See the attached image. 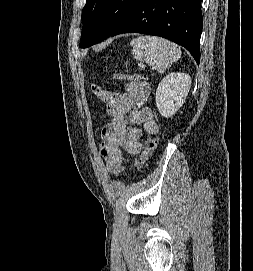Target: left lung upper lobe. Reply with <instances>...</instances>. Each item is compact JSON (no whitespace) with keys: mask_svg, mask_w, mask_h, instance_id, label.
I'll return each instance as SVG.
<instances>
[{"mask_svg":"<svg viewBox=\"0 0 253 271\" xmlns=\"http://www.w3.org/2000/svg\"><path fill=\"white\" fill-rule=\"evenodd\" d=\"M133 0H86L82 10V41L86 48L108 38L129 13Z\"/></svg>","mask_w":253,"mask_h":271,"instance_id":"5c2ea615","label":"left lung upper lobe"}]
</instances>
